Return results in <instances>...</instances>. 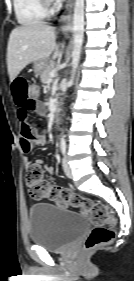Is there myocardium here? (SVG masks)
<instances>
[{"mask_svg": "<svg viewBox=\"0 0 134 281\" xmlns=\"http://www.w3.org/2000/svg\"><path fill=\"white\" fill-rule=\"evenodd\" d=\"M44 8L46 9L47 12L52 10V2L53 0H41Z\"/></svg>", "mask_w": 134, "mask_h": 281, "instance_id": "1", "label": "myocardium"}]
</instances>
